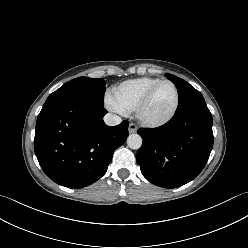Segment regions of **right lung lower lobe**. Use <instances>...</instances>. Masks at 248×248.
<instances>
[{
	"instance_id": "obj_1",
	"label": "right lung lower lobe",
	"mask_w": 248,
	"mask_h": 248,
	"mask_svg": "<svg viewBox=\"0 0 248 248\" xmlns=\"http://www.w3.org/2000/svg\"><path fill=\"white\" fill-rule=\"evenodd\" d=\"M103 104L85 97L46 100L37 117L34 150L44 173L68 188L86 187L107 171L128 137V122L107 126Z\"/></svg>"
}]
</instances>
